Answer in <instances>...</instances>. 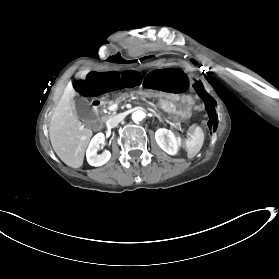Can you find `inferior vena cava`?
I'll return each instance as SVG.
<instances>
[{
	"mask_svg": "<svg viewBox=\"0 0 279 279\" xmlns=\"http://www.w3.org/2000/svg\"><path fill=\"white\" fill-rule=\"evenodd\" d=\"M124 119V115H116L114 117H110L109 120H107L106 124H107V127H110V128H113V127H116V125H118L119 121Z\"/></svg>",
	"mask_w": 279,
	"mask_h": 279,
	"instance_id": "602c4592",
	"label": "inferior vena cava"
}]
</instances>
